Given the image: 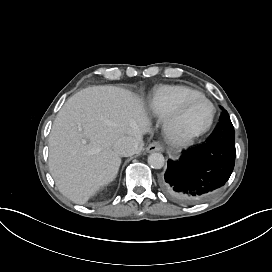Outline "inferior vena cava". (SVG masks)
<instances>
[{
	"label": "inferior vena cava",
	"mask_w": 272,
	"mask_h": 272,
	"mask_svg": "<svg viewBox=\"0 0 272 272\" xmlns=\"http://www.w3.org/2000/svg\"><path fill=\"white\" fill-rule=\"evenodd\" d=\"M143 141L142 135H138L136 139L130 136L120 138L114 144V150L121 156L128 157L138 152L139 147Z\"/></svg>",
	"instance_id": "1"
}]
</instances>
